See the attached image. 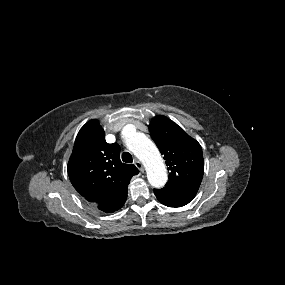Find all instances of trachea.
I'll list each match as a JSON object with an SVG mask.
<instances>
[{"instance_id":"trachea-1","label":"trachea","mask_w":285,"mask_h":285,"mask_svg":"<svg viewBox=\"0 0 285 285\" xmlns=\"http://www.w3.org/2000/svg\"><path fill=\"white\" fill-rule=\"evenodd\" d=\"M122 160L125 163H132L133 158H132V155L129 152H124L122 154Z\"/></svg>"}]
</instances>
